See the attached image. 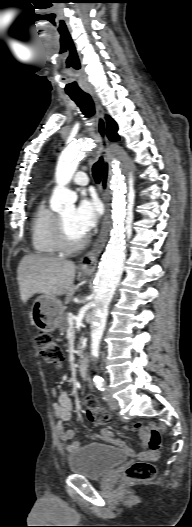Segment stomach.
<instances>
[{
    "mask_svg": "<svg viewBox=\"0 0 192 527\" xmlns=\"http://www.w3.org/2000/svg\"><path fill=\"white\" fill-rule=\"evenodd\" d=\"M89 275V273H85ZM63 314V305L56 297L39 296L31 308V320L37 329L52 332L58 325Z\"/></svg>",
    "mask_w": 192,
    "mask_h": 527,
    "instance_id": "0dacf381",
    "label": "stomach"
}]
</instances>
